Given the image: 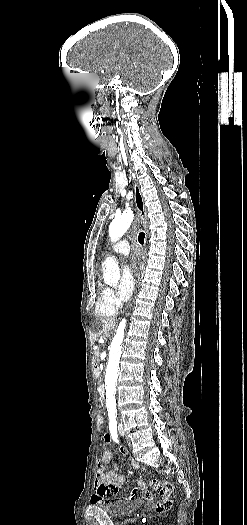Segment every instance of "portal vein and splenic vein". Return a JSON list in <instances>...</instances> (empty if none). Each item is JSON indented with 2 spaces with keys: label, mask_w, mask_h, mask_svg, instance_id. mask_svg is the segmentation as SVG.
Listing matches in <instances>:
<instances>
[{
  "label": "portal vein and splenic vein",
  "mask_w": 247,
  "mask_h": 525,
  "mask_svg": "<svg viewBox=\"0 0 247 525\" xmlns=\"http://www.w3.org/2000/svg\"><path fill=\"white\" fill-rule=\"evenodd\" d=\"M99 368H101V370H104L102 363H99Z\"/></svg>",
  "instance_id": "1"
}]
</instances>
